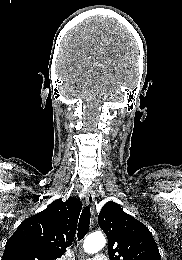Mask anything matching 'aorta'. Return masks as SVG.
<instances>
[{"instance_id": "obj_1", "label": "aorta", "mask_w": 182, "mask_h": 260, "mask_svg": "<svg viewBox=\"0 0 182 260\" xmlns=\"http://www.w3.org/2000/svg\"><path fill=\"white\" fill-rule=\"evenodd\" d=\"M106 244V238L102 233H93L87 236L83 243L86 253L93 254L100 251Z\"/></svg>"}]
</instances>
